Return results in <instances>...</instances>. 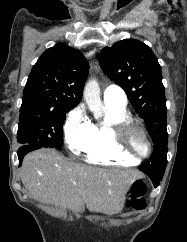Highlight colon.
Segmentation results:
<instances>
[{"instance_id": "5ec220e1", "label": "colon", "mask_w": 187, "mask_h": 242, "mask_svg": "<svg viewBox=\"0 0 187 242\" xmlns=\"http://www.w3.org/2000/svg\"><path fill=\"white\" fill-rule=\"evenodd\" d=\"M147 186L144 181H135L129 190L127 207L132 210H141L146 205Z\"/></svg>"}]
</instances>
